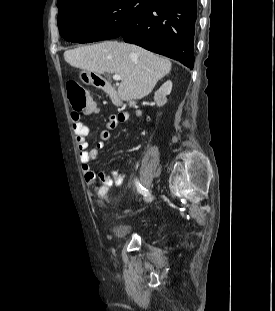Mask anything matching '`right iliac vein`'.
<instances>
[{
	"mask_svg": "<svg viewBox=\"0 0 275 311\" xmlns=\"http://www.w3.org/2000/svg\"><path fill=\"white\" fill-rule=\"evenodd\" d=\"M152 199H153V194H150V195L147 197L146 202H150Z\"/></svg>",
	"mask_w": 275,
	"mask_h": 311,
	"instance_id": "right-iliac-vein-1",
	"label": "right iliac vein"
}]
</instances>
